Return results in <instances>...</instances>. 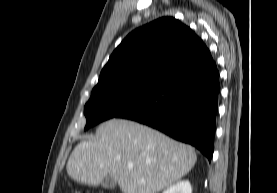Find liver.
<instances>
[{
  "label": "liver",
  "mask_w": 277,
  "mask_h": 193,
  "mask_svg": "<svg viewBox=\"0 0 277 193\" xmlns=\"http://www.w3.org/2000/svg\"><path fill=\"white\" fill-rule=\"evenodd\" d=\"M196 160L189 145L137 122L111 119L97 128L94 139L74 148L66 169L84 184L96 186L110 176L123 193H158L186 175Z\"/></svg>",
  "instance_id": "liver-1"
}]
</instances>
